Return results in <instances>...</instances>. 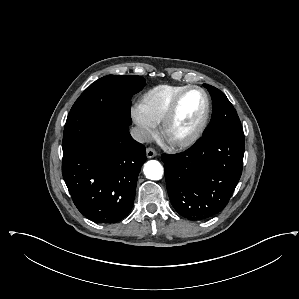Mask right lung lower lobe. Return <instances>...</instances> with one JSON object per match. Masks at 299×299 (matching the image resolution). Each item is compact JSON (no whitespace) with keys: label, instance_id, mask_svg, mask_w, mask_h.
<instances>
[{"label":"right lung lower lobe","instance_id":"right-lung-lower-lobe-1","mask_svg":"<svg viewBox=\"0 0 299 299\" xmlns=\"http://www.w3.org/2000/svg\"><path fill=\"white\" fill-rule=\"evenodd\" d=\"M144 145L117 122L94 132L63 154L62 174L78 210L97 223H115L132 208Z\"/></svg>","mask_w":299,"mask_h":299}]
</instances>
